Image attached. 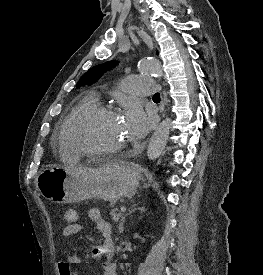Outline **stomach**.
I'll return each instance as SVG.
<instances>
[{
	"label": "stomach",
	"instance_id": "obj_1",
	"mask_svg": "<svg viewBox=\"0 0 263 275\" xmlns=\"http://www.w3.org/2000/svg\"><path fill=\"white\" fill-rule=\"evenodd\" d=\"M136 169L124 162H107L99 167H49L36 178V187L47 200L65 204L98 198L115 203L137 191Z\"/></svg>",
	"mask_w": 263,
	"mask_h": 275
}]
</instances>
